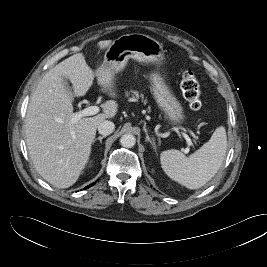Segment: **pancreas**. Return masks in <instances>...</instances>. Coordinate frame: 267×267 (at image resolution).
<instances>
[{
  "label": "pancreas",
  "mask_w": 267,
  "mask_h": 267,
  "mask_svg": "<svg viewBox=\"0 0 267 267\" xmlns=\"http://www.w3.org/2000/svg\"><path fill=\"white\" fill-rule=\"evenodd\" d=\"M129 95H130V93L126 92V96L128 97ZM131 95H132V97L130 98L131 101H137L138 98L141 97L142 100H143V103H144V104L147 103V100H146V99L144 100V99H143V95H142V94L139 95V92H138V91H131ZM148 111H149V112L151 111V107H150V106L148 107Z\"/></svg>",
  "instance_id": "cf45deb5"
}]
</instances>
